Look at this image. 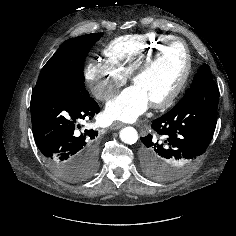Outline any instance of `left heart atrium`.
Listing matches in <instances>:
<instances>
[{
    "label": "left heart atrium",
    "mask_w": 236,
    "mask_h": 236,
    "mask_svg": "<svg viewBox=\"0 0 236 236\" xmlns=\"http://www.w3.org/2000/svg\"><path fill=\"white\" fill-rule=\"evenodd\" d=\"M149 103L147 95L134 84L107 103L104 119L106 121H134L147 109Z\"/></svg>",
    "instance_id": "1"
}]
</instances>
